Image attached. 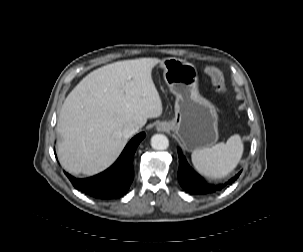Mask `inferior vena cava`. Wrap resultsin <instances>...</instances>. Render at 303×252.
Masks as SVG:
<instances>
[{
	"instance_id": "obj_1",
	"label": "inferior vena cava",
	"mask_w": 303,
	"mask_h": 252,
	"mask_svg": "<svg viewBox=\"0 0 303 252\" xmlns=\"http://www.w3.org/2000/svg\"><path fill=\"white\" fill-rule=\"evenodd\" d=\"M140 126L137 123H129L124 126L122 132L124 137L129 138L139 130Z\"/></svg>"
}]
</instances>
